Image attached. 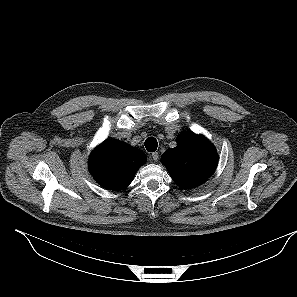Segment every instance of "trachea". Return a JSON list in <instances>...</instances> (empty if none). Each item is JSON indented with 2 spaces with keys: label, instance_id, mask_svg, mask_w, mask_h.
<instances>
[{
  "label": "trachea",
  "instance_id": "obj_1",
  "mask_svg": "<svg viewBox=\"0 0 297 297\" xmlns=\"http://www.w3.org/2000/svg\"><path fill=\"white\" fill-rule=\"evenodd\" d=\"M158 142L154 137H148L145 140V148L148 152H154L157 150Z\"/></svg>",
  "mask_w": 297,
  "mask_h": 297
}]
</instances>
